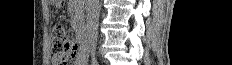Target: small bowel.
Returning <instances> with one entry per match:
<instances>
[{
    "label": "small bowel",
    "mask_w": 232,
    "mask_h": 65,
    "mask_svg": "<svg viewBox=\"0 0 232 65\" xmlns=\"http://www.w3.org/2000/svg\"><path fill=\"white\" fill-rule=\"evenodd\" d=\"M86 59H87V53H84L81 49L79 50L75 65H85L86 64Z\"/></svg>",
    "instance_id": "obj_1"
}]
</instances>
